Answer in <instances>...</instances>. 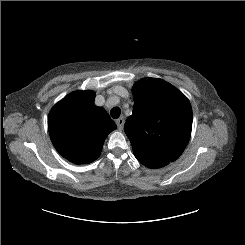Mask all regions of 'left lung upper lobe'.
<instances>
[{
  "mask_svg": "<svg viewBox=\"0 0 245 245\" xmlns=\"http://www.w3.org/2000/svg\"><path fill=\"white\" fill-rule=\"evenodd\" d=\"M133 97V113L124 131L137 160L148 168H161L178 159L192 129V108L187 97L158 78L136 82Z\"/></svg>",
  "mask_w": 245,
  "mask_h": 245,
  "instance_id": "obj_1",
  "label": "left lung upper lobe"
}]
</instances>
